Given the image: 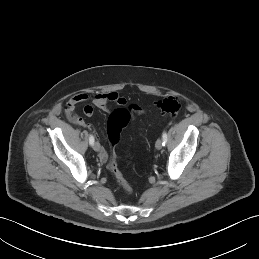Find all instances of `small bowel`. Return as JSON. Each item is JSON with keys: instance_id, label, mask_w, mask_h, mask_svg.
Masks as SVG:
<instances>
[{"instance_id": "c3829d8e", "label": "small bowel", "mask_w": 259, "mask_h": 259, "mask_svg": "<svg viewBox=\"0 0 259 259\" xmlns=\"http://www.w3.org/2000/svg\"><path fill=\"white\" fill-rule=\"evenodd\" d=\"M80 102H89L95 107L102 109L104 111H108V106L110 103L126 107L138 114L143 113V110L135 104L128 105L127 100L119 95L117 92H102V93H96V94H87V93H80L73 96L70 100V103L74 106L75 104H78ZM84 113L87 116H91L93 113V107L91 105H86L84 107ZM76 123L80 126H86L85 122L81 119H78ZM99 159L101 162H105L107 152L100 148L99 150Z\"/></svg>"}]
</instances>
